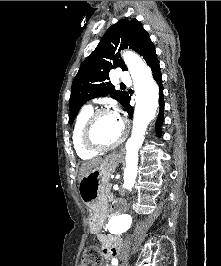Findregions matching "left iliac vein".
<instances>
[{
	"label": "left iliac vein",
	"instance_id": "1",
	"mask_svg": "<svg viewBox=\"0 0 221 266\" xmlns=\"http://www.w3.org/2000/svg\"><path fill=\"white\" fill-rule=\"evenodd\" d=\"M120 266H128V262H124Z\"/></svg>",
	"mask_w": 221,
	"mask_h": 266
}]
</instances>
